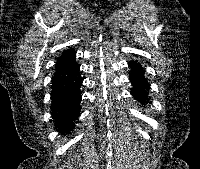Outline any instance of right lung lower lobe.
<instances>
[{
    "label": "right lung lower lobe",
    "mask_w": 200,
    "mask_h": 169,
    "mask_svg": "<svg viewBox=\"0 0 200 169\" xmlns=\"http://www.w3.org/2000/svg\"><path fill=\"white\" fill-rule=\"evenodd\" d=\"M82 78L75 56L56 63L52 78V117L62 134L70 133L80 114Z\"/></svg>",
    "instance_id": "obj_1"
}]
</instances>
